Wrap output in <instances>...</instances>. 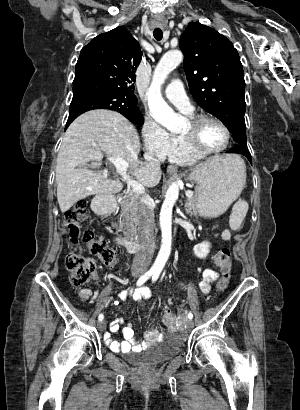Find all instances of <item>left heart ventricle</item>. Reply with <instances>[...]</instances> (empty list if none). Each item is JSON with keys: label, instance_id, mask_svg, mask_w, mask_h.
Returning a JSON list of instances; mask_svg holds the SVG:
<instances>
[{"label": "left heart ventricle", "instance_id": "b2bd125f", "mask_svg": "<svg viewBox=\"0 0 300 410\" xmlns=\"http://www.w3.org/2000/svg\"><path fill=\"white\" fill-rule=\"evenodd\" d=\"M189 123L185 126L183 133L188 132ZM200 146L204 150H214L222 147L226 141L223 129L213 121H204L197 129Z\"/></svg>", "mask_w": 300, "mask_h": 410}]
</instances>
